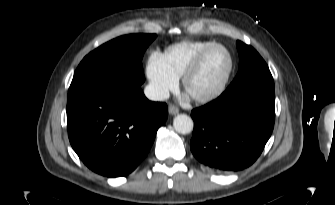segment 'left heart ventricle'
Masks as SVG:
<instances>
[{"label": "left heart ventricle", "instance_id": "obj_1", "mask_svg": "<svg viewBox=\"0 0 335 205\" xmlns=\"http://www.w3.org/2000/svg\"><path fill=\"white\" fill-rule=\"evenodd\" d=\"M228 67L227 53L221 48L214 49L206 56L198 72L189 80L188 93L194 96L209 93L221 82Z\"/></svg>", "mask_w": 335, "mask_h": 205}]
</instances>
